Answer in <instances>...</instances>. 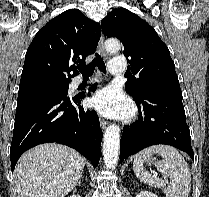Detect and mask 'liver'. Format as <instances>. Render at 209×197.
<instances>
[{"label":"liver","mask_w":209,"mask_h":197,"mask_svg":"<svg viewBox=\"0 0 209 197\" xmlns=\"http://www.w3.org/2000/svg\"><path fill=\"white\" fill-rule=\"evenodd\" d=\"M85 159L67 146L47 143L26 151L15 172L18 197H64L80 180Z\"/></svg>","instance_id":"6515ba94"}]
</instances>
